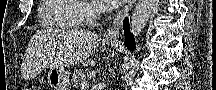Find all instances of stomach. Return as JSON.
Instances as JSON below:
<instances>
[{
    "label": "stomach",
    "mask_w": 216,
    "mask_h": 90,
    "mask_svg": "<svg viewBox=\"0 0 216 90\" xmlns=\"http://www.w3.org/2000/svg\"><path fill=\"white\" fill-rule=\"evenodd\" d=\"M107 45L114 46L115 42H107ZM47 81L55 90H67L70 84V73L61 68H50L47 72Z\"/></svg>",
    "instance_id": "1"
}]
</instances>
